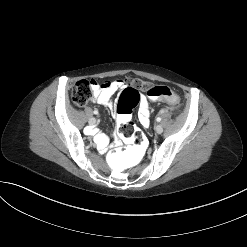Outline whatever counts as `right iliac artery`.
I'll return each mask as SVG.
<instances>
[{
  "mask_svg": "<svg viewBox=\"0 0 247 247\" xmlns=\"http://www.w3.org/2000/svg\"><path fill=\"white\" fill-rule=\"evenodd\" d=\"M93 113H94V114H97V113H98V111H96V110H95Z\"/></svg>",
  "mask_w": 247,
  "mask_h": 247,
  "instance_id": "1",
  "label": "right iliac artery"
}]
</instances>
